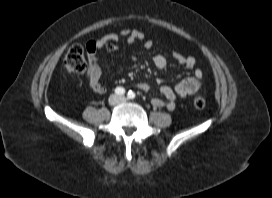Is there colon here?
Returning <instances> with one entry per match:
<instances>
[{
	"instance_id": "obj_1",
	"label": "colon",
	"mask_w": 272,
	"mask_h": 198,
	"mask_svg": "<svg viewBox=\"0 0 272 198\" xmlns=\"http://www.w3.org/2000/svg\"><path fill=\"white\" fill-rule=\"evenodd\" d=\"M86 59L84 48L80 44H73L67 50L64 57V67L71 77H77L86 70ZM194 106L202 109L205 106V99L202 96L194 98Z\"/></svg>"
}]
</instances>
